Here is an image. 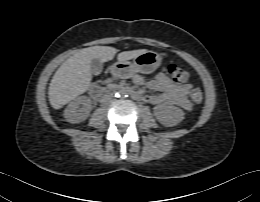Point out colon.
Returning a JSON list of instances; mask_svg holds the SVG:
<instances>
[{
  "mask_svg": "<svg viewBox=\"0 0 260 202\" xmlns=\"http://www.w3.org/2000/svg\"><path fill=\"white\" fill-rule=\"evenodd\" d=\"M166 71L175 82L185 83L190 79V74L178 68L175 64H169ZM190 97L194 103H200L203 99V93L199 88H195L191 91Z\"/></svg>",
  "mask_w": 260,
  "mask_h": 202,
  "instance_id": "colon-1",
  "label": "colon"
}]
</instances>
